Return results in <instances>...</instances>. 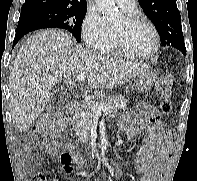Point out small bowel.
I'll return each mask as SVG.
<instances>
[{
	"instance_id": "small-bowel-1",
	"label": "small bowel",
	"mask_w": 197,
	"mask_h": 181,
	"mask_svg": "<svg viewBox=\"0 0 197 181\" xmlns=\"http://www.w3.org/2000/svg\"><path fill=\"white\" fill-rule=\"evenodd\" d=\"M119 126L126 131L128 137H134L147 127L148 132L134 168L139 175V181H164V161L169 157L172 150L173 134L165 129L158 112L151 106L142 104L131 115H123ZM44 148L50 154H55L58 148L69 150L71 146L49 142L44 144ZM31 158H36V154H32ZM73 163L82 165L83 160L80 157H74Z\"/></svg>"
}]
</instances>
